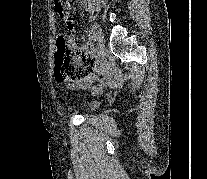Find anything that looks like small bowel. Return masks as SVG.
Listing matches in <instances>:
<instances>
[{
	"label": "small bowel",
	"mask_w": 207,
	"mask_h": 179,
	"mask_svg": "<svg viewBox=\"0 0 207 179\" xmlns=\"http://www.w3.org/2000/svg\"><path fill=\"white\" fill-rule=\"evenodd\" d=\"M67 25L72 28V21ZM71 43L73 48H75L76 43L74 39H71ZM85 51L87 53H91V50L88 47L85 48ZM92 66L93 70L91 74L82 84L74 85L75 87H85L88 84H91L92 82L98 80L100 87L94 88V91L100 92L102 88H115L121 83L122 79L119 72L111 68L103 58L97 57L92 59ZM95 72L101 74V78L98 79Z\"/></svg>",
	"instance_id": "obj_1"
}]
</instances>
